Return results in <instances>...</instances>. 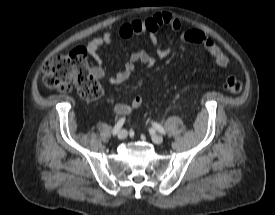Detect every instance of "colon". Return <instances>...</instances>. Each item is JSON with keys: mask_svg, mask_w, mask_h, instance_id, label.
<instances>
[{"mask_svg": "<svg viewBox=\"0 0 275 215\" xmlns=\"http://www.w3.org/2000/svg\"><path fill=\"white\" fill-rule=\"evenodd\" d=\"M44 84L61 93H69L76 89L86 100L98 99L103 89L91 73L88 55L83 48H75L70 53L49 58L43 66ZM224 89L232 94H238L243 89V83L234 76H228Z\"/></svg>", "mask_w": 275, "mask_h": 215, "instance_id": "obj_1", "label": "colon"}]
</instances>
